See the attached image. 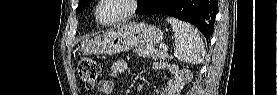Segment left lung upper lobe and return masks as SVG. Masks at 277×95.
Here are the masks:
<instances>
[{
  "instance_id": "left-lung-upper-lobe-1",
  "label": "left lung upper lobe",
  "mask_w": 277,
  "mask_h": 95,
  "mask_svg": "<svg viewBox=\"0 0 277 95\" xmlns=\"http://www.w3.org/2000/svg\"><path fill=\"white\" fill-rule=\"evenodd\" d=\"M92 0H79L78 7L76 9V14L80 13L83 11L90 3ZM150 0H139V6L136 10L139 11L141 8H143Z\"/></svg>"
}]
</instances>
